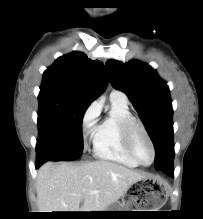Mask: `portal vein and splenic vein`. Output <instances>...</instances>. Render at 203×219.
I'll list each match as a JSON object with an SVG mask.
<instances>
[{"mask_svg":"<svg viewBox=\"0 0 203 219\" xmlns=\"http://www.w3.org/2000/svg\"><path fill=\"white\" fill-rule=\"evenodd\" d=\"M97 192H98V191H91L90 193H91V194H95V193H97Z\"/></svg>","mask_w":203,"mask_h":219,"instance_id":"1","label":"portal vein and splenic vein"}]
</instances>
